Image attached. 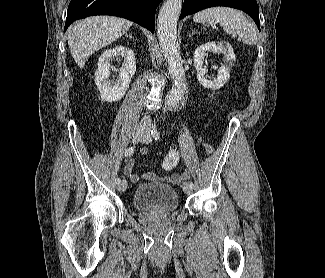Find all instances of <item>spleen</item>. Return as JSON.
Listing matches in <instances>:
<instances>
[{"label": "spleen", "instance_id": "spleen-1", "mask_svg": "<svg viewBox=\"0 0 325 278\" xmlns=\"http://www.w3.org/2000/svg\"><path fill=\"white\" fill-rule=\"evenodd\" d=\"M195 22L216 21L228 34L239 35L243 43L253 46L257 43L256 27L243 15L242 12L228 7H213L196 13Z\"/></svg>", "mask_w": 325, "mask_h": 278}]
</instances>
